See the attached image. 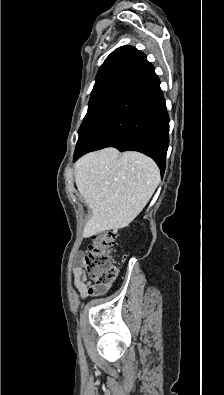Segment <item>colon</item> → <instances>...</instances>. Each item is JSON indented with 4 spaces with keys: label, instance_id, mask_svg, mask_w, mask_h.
<instances>
[{
    "label": "colon",
    "instance_id": "5ec220e1",
    "mask_svg": "<svg viewBox=\"0 0 224 395\" xmlns=\"http://www.w3.org/2000/svg\"><path fill=\"white\" fill-rule=\"evenodd\" d=\"M116 238V230H106L93 235L82 259L84 271L90 280L97 284L110 283L118 274L111 257Z\"/></svg>",
    "mask_w": 224,
    "mask_h": 395
}]
</instances>
